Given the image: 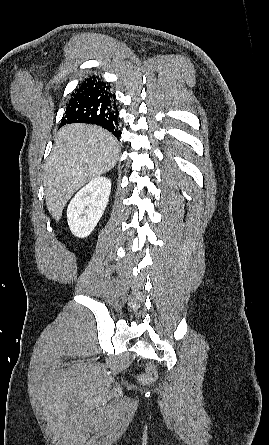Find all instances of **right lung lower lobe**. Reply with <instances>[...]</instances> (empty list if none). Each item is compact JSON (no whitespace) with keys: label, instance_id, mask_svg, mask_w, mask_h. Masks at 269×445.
Here are the masks:
<instances>
[{"label":"right lung lower lobe","instance_id":"1","mask_svg":"<svg viewBox=\"0 0 269 445\" xmlns=\"http://www.w3.org/2000/svg\"><path fill=\"white\" fill-rule=\"evenodd\" d=\"M118 108L115 94L108 83L98 76L85 78L66 104L62 125L71 123L95 124L107 129L119 139Z\"/></svg>","mask_w":269,"mask_h":445}]
</instances>
